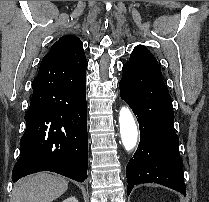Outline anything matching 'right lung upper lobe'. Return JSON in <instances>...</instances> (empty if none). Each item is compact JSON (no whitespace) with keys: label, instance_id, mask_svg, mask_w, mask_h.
<instances>
[{"label":"right lung upper lobe","instance_id":"obj_1","mask_svg":"<svg viewBox=\"0 0 209 202\" xmlns=\"http://www.w3.org/2000/svg\"><path fill=\"white\" fill-rule=\"evenodd\" d=\"M44 58L57 61L53 70L74 80L86 76L87 60L80 39L73 35H65L56 41Z\"/></svg>","mask_w":209,"mask_h":202}]
</instances>
